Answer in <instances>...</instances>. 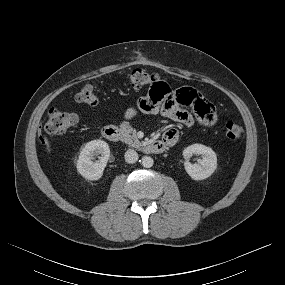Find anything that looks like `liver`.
<instances>
[{
	"instance_id": "liver-1",
	"label": "liver",
	"mask_w": 285,
	"mask_h": 285,
	"mask_svg": "<svg viewBox=\"0 0 285 285\" xmlns=\"http://www.w3.org/2000/svg\"><path fill=\"white\" fill-rule=\"evenodd\" d=\"M44 140H45V143H46V145H47V149H48V151H50V150H51V149H50V144H49V142H48L47 138H46V137H44Z\"/></svg>"
}]
</instances>
